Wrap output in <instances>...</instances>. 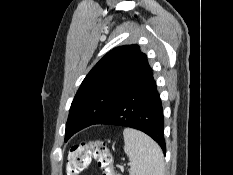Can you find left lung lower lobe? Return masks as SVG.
I'll return each mask as SVG.
<instances>
[{
  "label": "left lung lower lobe",
  "instance_id": "0a47b994",
  "mask_svg": "<svg viewBox=\"0 0 233 175\" xmlns=\"http://www.w3.org/2000/svg\"><path fill=\"white\" fill-rule=\"evenodd\" d=\"M93 124L119 125L138 129L153 138L166 151L160 95L149 67ZM92 124V125H93Z\"/></svg>",
  "mask_w": 233,
  "mask_h": 175
}]
</instances>
